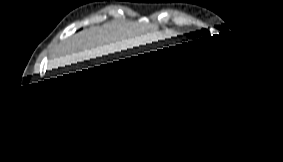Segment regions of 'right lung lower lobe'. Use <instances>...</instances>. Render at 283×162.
<instances>
[{
  "mask_svg": "<svg viewBox=\"0 0 283 162\" xmlns=\"http://www.w3.org/2000/svg\"><path fill=\"white\" fill-rule=\"evenodd\" d=\"M149 64L131 66L44 91L46 118L61 131L82 140L98 138L116 129L125 103L141 93L139 77Z\"/></svg>",
  "mask_w": 283,
  "mask_h": 162,
  "instance_id": "obj_1",
  "label": "right lung lower lobe"
}]
</instances>
